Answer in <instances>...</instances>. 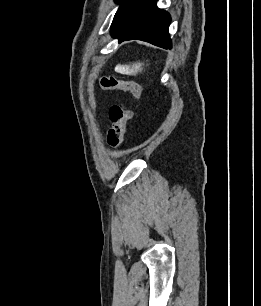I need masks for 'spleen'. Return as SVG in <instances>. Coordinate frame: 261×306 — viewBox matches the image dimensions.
Wrapping results in <instances>:
<instances>
[{
	"instance_id": "obj_1",
	"label": "spleen",
	"mask_w": 261,
	"mask_h": 306,
	"mask_svg": "<svg viewBox=\"0 0 261 306\" xmlns=\"http://www.w3.org/2000/svg\"><path fill=\"white\" fill-rule=\"evenodd\" d=\"M143 70L142 63H134L132 65H118L116 71L125 75H136Z\"/></svg>"
}]
</instances>
